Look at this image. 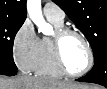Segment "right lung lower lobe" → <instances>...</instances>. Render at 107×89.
Listing matches in <instances>:
<instances>
[{"mask_svg":"<svg viewBox=\"0 0 107 89\" xmlns=\"http://www.w3.org/2000/svg\"><path fill=\"white\" fill-rule=\"evenodd\" d=\"M17 73H18V71H6V70L0 71V74L7 75V76H14Z\"/></svg>","mask_w":107,"mask_h":89,"instance_id":"1","label":"right lung lower lobe"}]
</instances>
